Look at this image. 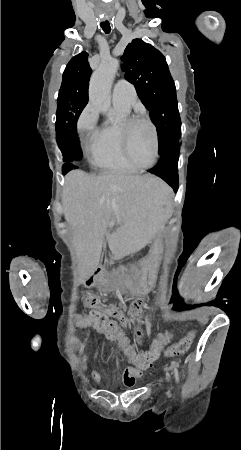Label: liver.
Segmentation results:
<instances>
[{
    "mask_svg": "<svg viewBox=\"0 0 241 450\" xmlns=\"http://www.w3.org/2000/svg\"><path fill=\"white\" fill-rule=\"evenodd\" d=\"M168 194L167 184L155 176H127L121 172L92 176L82 170H72L65 176L63 212L74 232L81 282L97 270L104 238L115 252L120 236L115 226L145 220L149 234L154 230L159 206L167 202Z\"/></svg>",
    "mask_w": 241,
    "mask_h": 450,
    "instance_id": "6515ba94",
    "label": "liver"
}]
</instances>
